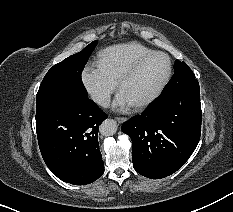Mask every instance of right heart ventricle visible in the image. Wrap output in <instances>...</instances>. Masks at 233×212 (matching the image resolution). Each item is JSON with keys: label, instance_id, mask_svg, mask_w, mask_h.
Here are the masks:
<instances>
[{"label": "right heart ventricle", "instance_id": "right-heart-ventricle-1", "mask_svg": "<svg viewBox=\"0 0 233 212\" xmlns=\"http://www.w3.org/2000/svg\"><path fill=\"white\" fill-rule=\"evenodd\" d=\"M152 50L130 42L108 47L98 54V64L117 83L125 71L141 56Z\"/></svg>", "mask_w": 233, "mask_h": 212}]
</instances>
